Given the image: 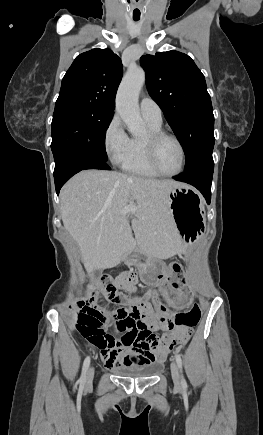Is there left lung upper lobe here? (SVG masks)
<instances>
[{
	"label": "left lung upper lobe",
	"instance_id": "5c2ea615",
	"mask_svg": "<svg viewBox=\"0 0 263 435\" xmlns=\"http://www.w3.org/2000/svg\"><path fill=\"white\" fill-rule=\"evenodd\" d=\"M147 90L181 142L185 168L212 154L214 115L204 75L186 54L168 51L141 57Z\"/></svg>",
	"mask_w": 263,
	"mask_h": 435
}]
</instances>
